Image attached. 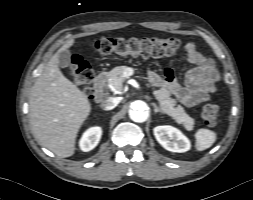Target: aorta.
I'll list each match as a JSON object with an SVG mask.
<instances>
[{
  "instance_id": "obj_1",
  "label": "aorta",
  "mask_w": 253,
  "mask_h": 200,
  "mask_svg": "<svg viewBox=\"0 0 253 200\" xmlns=\"http://www.w3.org/2000/svg\"><path fill=\"white\" fill-rule=\"evenodd\" d=\"M146 109L147 105L145 102L135 101L132 103V110L130 111L129 116L134 122H144L148 118Z\"/></svg>"
}]
</instances>
